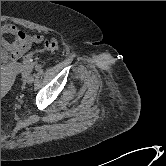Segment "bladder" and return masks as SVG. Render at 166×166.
Returning a JSON list of instances; mask_svg holds the SVG:
<instances>
[{"label":"bladder","instance_id":"obj_1","mask_svg":"<svg viewBox=\"0 0 166 166\" xmlns=\"http://www.w3.org/2000/svg\"><path fill=\"white\" fill-rule=\"evenodd\" d=\"M9 57L10 53L4 47L1 46V65L6 63ZM5 89L6 87L4 86V84H1V97L5 95Z\"/></svg>","mask_w":166,"mask_h":166}]
</instances>
